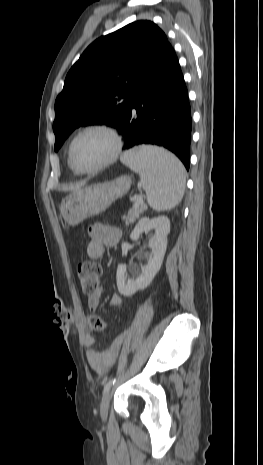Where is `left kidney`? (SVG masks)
I'll return each mask as SVG.
<instances>
[{
	"instance_id": "1",
	"label": "left kidney",
	"mask_w": 263,
	"mask_h": 465,
	"mask_svg": "<svg viewBox=\"0 0 263 465\" xmlns=\"http://www.w3.org/2000/svg\"><path fill=\"white\" fill-rule=\"evenodd\" d=\"M151 229L155 230L154 238L149 242L151 255L147 264L141 266V272L133 278L127 279L126 267L121 264L117 268L116 280L121 295L131 296L136 291L146 288L160 270L167 247V236L170 232V221L165 216L157 218L144 217L139 220L130 238L136 240L139 236Z\"/></svg>"
}]
</instances>
